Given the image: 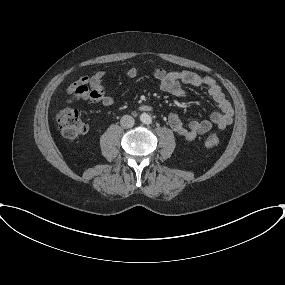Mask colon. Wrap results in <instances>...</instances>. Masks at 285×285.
I'll list each match as a JSON object with an SVG mask.
<instances>
[{
    "label": "colon",
    "instance_id": "1",
    "mask_svg": "<svg viewBox=\"0 0 285 285\" xmlns=\"http://www.w3.org/2000/svg\"><path fill=\"white\" fill-rule=\"evenodd\" d=\"M56 122L62 136L69 143L75 142L79 136L85 134L88 130L87 124L81 118L78 111L71 107L60 109L56 115ZM220 142V138L216 134H210L205 140V144L209 148L219 146Z\"/></svg>",
    "mask_w": 285,
    "mask_h": 285
}]
</instances>
